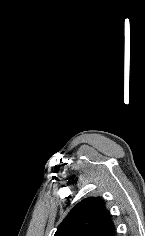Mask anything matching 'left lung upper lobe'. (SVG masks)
Masks as SVG:
<instances>
[{"instance_id":"left-lung-upper-lobe-1","label":"left lung upper lobe","mask_w":145,"mask_h":236,"mask_svg":"<svg viewBox=\"0 0 145 236\" xmlns=\"http://www.w3.org/2000/svg\"><path fill=\"white\" fill-rule=\"evenodd\" d=\"M115 226L103 200L88 197L65 217L54 236H115Z\"/></svg>"}]
</instances>
